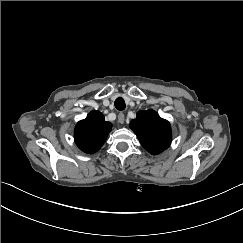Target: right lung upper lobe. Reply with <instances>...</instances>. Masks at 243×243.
<instances>
[{
  "instance_id": "right-lung-upper-lobe-1",
  "label": "right lung upper lobe",
  "mask_w": 243,
  "mask_h": 243,
  "mask_svg": "<svg viewBox=\"0 0 243 243\" xmlns=\"http://www.w3.org/2000/svg\"><path fill=\"white\" fill-rule=\"evenodd\" d=\"M111 128L112 124L104 120V115L93 110L76 125L75 143L83 152L95 153L104 144Z\"/></svg>"
}]
</instances>
